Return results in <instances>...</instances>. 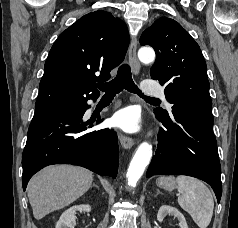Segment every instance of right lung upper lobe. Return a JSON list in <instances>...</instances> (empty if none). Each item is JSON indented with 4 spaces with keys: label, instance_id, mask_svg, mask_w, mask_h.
<instances>
[{
    "label": "right lung upper lobe",
    "instance_id": "obj_1",
    "mask_svg": "<svg viewBox=\"0 0 238 228\" xmlns=\"http://www.w3.org/2000/svg\"><path fill=\"white\" fill-rule=\"evenodd\" d=\"M128 44L126 24L111 13L99 10L81 17L59 35L50 50L35 112L98 97L95 81L110 78Z\"/></svg>",
    "mask_w": 238,
    "mask_h": 228
}]
</instances>
